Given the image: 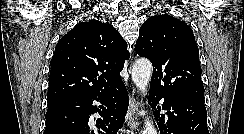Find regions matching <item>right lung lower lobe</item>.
<instances>
[{
  "instance_id": "obj_1",
  "label": "right lung lower lobe",
  "mask_w": 244,
  "mask_h": 134,
  "mask_svg": "<svg viewBox=\"0 0 244 134\" xmlns=\"http://www.w3.org/2000/svg\"><path fill=\"white\" fill-rule=\"evenodd\" d=\"M93 101L103 104L100 110ZM129 105L126 87L120 78L102 92L77 96L48 106L44 134H117ZM98 112L97 129L89 126L90 115Z\"/></svg>"
}]
</instances>
